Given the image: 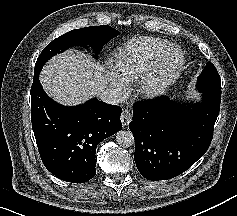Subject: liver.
<instances>
[{
  "label": "liver",
  "instance_id": "obj_1",
  "mask_svg": "<svg viewBox=\"0 0 237 216\" xmlns=\"http://www.w3.org/2000/svg\"><path fill=\"white\" fill-rule=\"evenodd\" d=\"M109 64L94 63L91 56L68 50L50 59L39 80L48 96L62 105L76 106L99 95L109 82L117 81Z\"/></svg>",
  "mask_w": 237,
  "mask_h": 216
}]
</instances>
